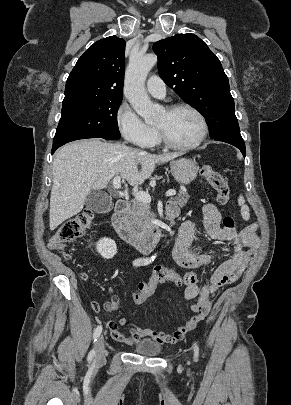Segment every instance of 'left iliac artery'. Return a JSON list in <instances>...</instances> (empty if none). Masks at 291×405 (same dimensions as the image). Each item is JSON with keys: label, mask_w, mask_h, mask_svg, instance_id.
I'll list each match as a JSON object with an SVG mask.
<instances>
[{"label": "left iliac artery", "mask_w": 291, "mask_h": 405, "mask_svg": "<svg viewBox=\"0 0 291 405\" xmlns=\"http://www.w3.org/2000/svg\"><path fill=\"white\" fill-rule=\"evenodd\" d=\"M194 352H195V358H198L199 354V347L196 343H194Z\"/></svg>", "instance_id": "left-iliac-artery-1"}]
</instances>
